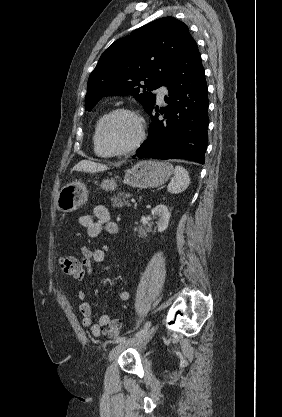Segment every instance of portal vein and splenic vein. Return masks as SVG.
Listing matches in <instances>:
<instances>
[{
  "label": "portal vein and splenic vein",
  "instance_id": "obj_1",
  "mask_svg": "<svg viewBox=\"0 0 282 417\" xmlns=\"http://www.w3.org/2000/svg\"><path fill=\"white\" fill-rule=\"evenodd\" d=\"M132 202L133 203H136L137 202V199L136 198H132Z\"/></svg>",
  "mask_w": 282,
  "mask_h": 417
}]
</instances>
